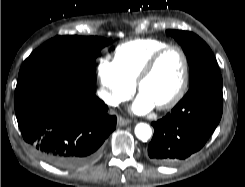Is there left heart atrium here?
Segmentation results:
<instances>
[{"label":"left heart atrium","mask_w":245,"mask_h":187,"mask_svg":"<svg viewBox=\"0 0 245 187\" xmlns=\"http://www.w3.org/2000/svg\"><path fill=\"white\" fill-rule=\"evenodd\" d=\"M155 107V104L143 93L135 100L132 111L136 114H144Z\"/></svg>","instance_id":"1"}]
</instances>
